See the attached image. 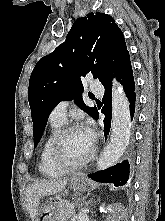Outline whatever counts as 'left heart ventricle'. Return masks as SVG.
Returning <instances> with one entry per match:
<instances>
[{
	"label": "left heart ventricle",
	"instance_id": "1",
	"mask_svg": "<svg viewBox=\"0 0 165 221\" xmlns=\"http://www.w3.org/2000/svg\"><path fill=\"white\" fill-rule=\"evenodd\" d=\"M91 147L92 142L82 129L71 131L63 140L62 157L69 163H77L88 155Z\"/></svg>",
	"mask_w": 165,
	"mask_h": 221
}]
</instances>
